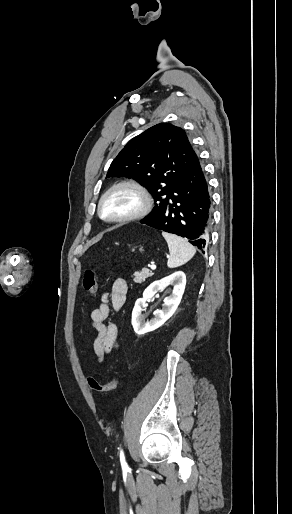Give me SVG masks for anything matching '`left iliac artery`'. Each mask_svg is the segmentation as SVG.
<instances>
[{"mask_svg": "<svg viewBox=\"0 0 292 514\" xmlns=\"http://www.w3.org/2000/svg\"><path fill=\"white\" fill-rule=\"evenodd\" d=\"M120 462H121V466L123 469H128V465L125 461V456H124V453H123V450L121 449L120 451Z\"/></svg>", "mask_w": 292, "mask_h": 514, "instance_id": "obj_1", "label": "left iliac artery"}]
</instances>
